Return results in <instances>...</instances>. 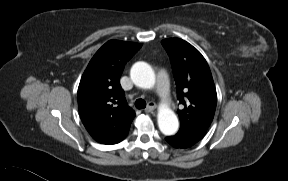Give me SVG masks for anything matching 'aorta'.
<instances>
[{
	"label": "aorta",
	"instance_id": "obj_1",
	"mask_svg": "<svg viewBox=\"0 0 288 181\" xmlns=\"http://www.w3.org/2000/svg\"><path fill=\"white\" fill-rule=\"evenodd\" d=\"M133 83L141 88L150 89L155 84V74L151 66L145 62L135 63L130 71ZM158 126L164 135L177 132L179 122L176 114L168 107H160L158 112Z\"/></svg>",
	"mask_w": 288,
	"mask_h": 181
}]
</instances>
